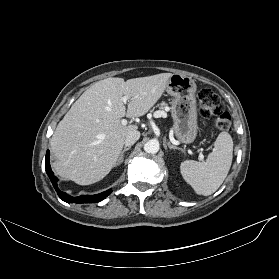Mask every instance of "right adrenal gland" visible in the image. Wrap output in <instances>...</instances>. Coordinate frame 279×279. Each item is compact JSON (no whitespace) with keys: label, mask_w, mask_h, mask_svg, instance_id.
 Returning <instances> with one entry per match:
<instances>
[{"label":"right adrenal gland","mask_w":279,"mask_h":279,"mask_svg":"<svg viewBox=\"0 0 279 279\" xmlns=\"http://www.w3.org/2000/svg\"><path fill=\"white\" fill-rule=\"evenodd\" d=\"M130 148H131V146L124 147V149L122 150V152H121V154H120V156H119V158H118V160H117L115 166H118V165H120V164L123 162L124 153H125L127 150H129Z\"/></svg>","instance_id":"1"}]
</instances>
